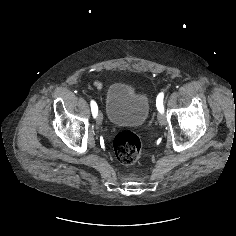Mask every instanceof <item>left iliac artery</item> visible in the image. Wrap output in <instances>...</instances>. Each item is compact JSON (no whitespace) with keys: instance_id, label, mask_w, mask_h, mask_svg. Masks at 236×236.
I'll list each match as a JSON object with an SVG mask.
<instances>
[{"instance_id":"44dca946","label":"left iliac artery","mask_w":236,"mask_h":236,"mask_svg":"<svg viewBox=\"0 0 236 236\" xmlns=\"http://www.w3.org/2000/svg\"><path fill=\"white\" fill-rule=\"evenodd\" d=\"M163 98H164V93L161 92L158 94L156 99V106L160 113H164Z\"/></svg>"}]
</instances>
